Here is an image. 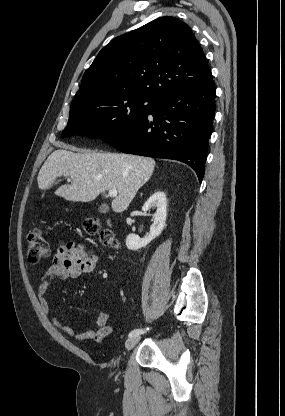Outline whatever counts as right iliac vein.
Instances as JSON below:
<instances>
[{
    "label": "right iliac vein",
    "instance_id": "63e3f726",
    "mask_svg": "<svg viewBox=\"0 0 285 416\" xmlns=\"http://www.w3.org/2000/svg\"><path fill=\"white\" fill-rule=\"evenodd\" d=\"M139 340H140L139 336L129 337L125 342V349L126 350H131L132 348H134L137 345Z\"/></svg>",
    "mask_w": 285,
    "mask_h": 416
}]
</instances>
